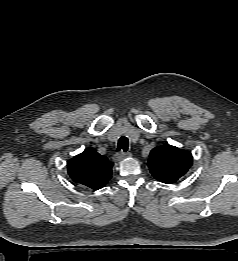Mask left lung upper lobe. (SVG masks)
I'll return each instance as SVG.
<instances>
[{
    "label": "left lung upper lobe",
    "mask_w": 238,
    "mask_h": 261,
    "mask_svg": "<svg viewBox=\"0 0 238 261\" xmlns=\"http://www.w3.org/2000/svg\"><path fill=\"white\" fill-rule=\"evenodd\" d=\"M192 165L190 151L165 144L152 149L148 167L158 181L173 183L183 176Z\"/></svg>",
    "instance_id": "1"
}]
</instances>
